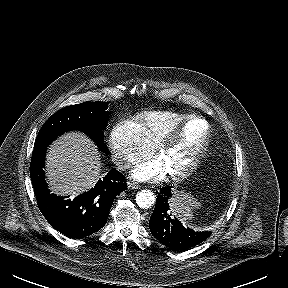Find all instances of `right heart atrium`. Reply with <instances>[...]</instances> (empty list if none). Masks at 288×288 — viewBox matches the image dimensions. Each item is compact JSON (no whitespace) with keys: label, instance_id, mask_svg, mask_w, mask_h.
Here are the masks:
<instances>
[{"label":"right heart atrium","instance_id":"right-heart-atrium-1","mask_svg":"<svg viewBox=\"0 0 288 288\" xmlns=\"http://www.w3.org/2000/svg\"><path fill=\"white\" fill-rule=\"evenodd\" d=\"M110 145L114 161L122 168L150 157L154 150L132 119L121 120L113 127Z\"/></svg>","mask_w":288,"mask_h":288}]
</instances>
